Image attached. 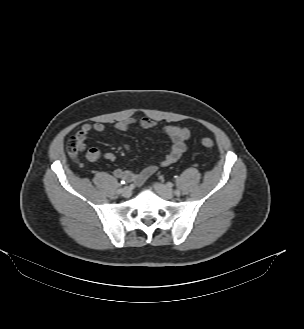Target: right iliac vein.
I'll list each match as a JSON object with an SVG mask.
<instances>
[{"label":"right iliac vein","instance_id":"1","mask_svg":"<svg viewBox=\"0 0 304 329\" xmlns=\"http://www.w3.org/2000/svg\"><path fill=\"white\" fill-rule=\"evenodd\" d=\"M121 195L125 198H128L131 196V189L129 187H124L122 189Z\"/></svg>","mask_w":304,"mask_h":329}]
</instances>
